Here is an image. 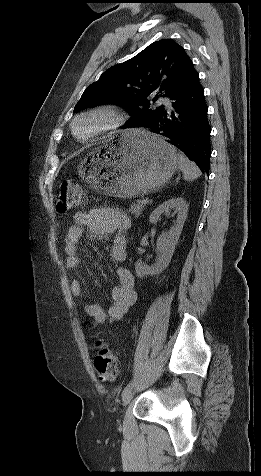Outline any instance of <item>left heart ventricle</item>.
<instances>
[{
    "mask_svg": "<svg viewBox=\"0 0 261 476\" xmlns=\"http://www.w3.org/2000/svg\"><path fill=\"white\" fill-rule=\"evenodd\" d=\"M98 122L99 121L97 119H87V120L79 122L76 126L77 133L80 136L87 135L95 128Z\"/></svg>",
    "mask_w": 261,
    "mask_h": 476,
    "instance_id": "b2bd125f",
    "label": "left heart ventricle"
}]
</instances>
